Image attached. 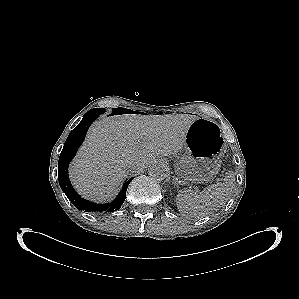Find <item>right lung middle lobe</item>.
Masks as SVG:
<instances>
[{
    "label": "right lung middle lobe",
    "mask_w": 299,
    "mask_h": 299,
    "mask_svg": "<svg viewBox=\"0 0 299 299\" xmlns=\"http://www.w3.org/2000/svg\"><path fill=\"white\" fill-rule=\"evenodd\" d=\"M105 112V109L103 108H94L89 110L85 115H90V114H102Z\"/></svg>",
    "instance_id": "obj_1"
}]
</instances>
